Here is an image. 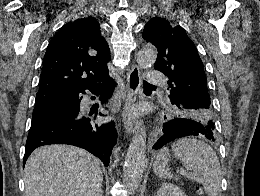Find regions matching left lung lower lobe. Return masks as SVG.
Wrapping results in <instances>:
<instances>
[{
  "instance_id": "obj_1",
  "label": "left lung lower lobe",
  "mask_w": 260,
  "mask_h": 196,
  "mask_svg": "<svg viewBox=\"0 0 260 196\" xmlns=\"http://www.w3.org/2000/svg\"><path fill=\"white\" fill-rule=\"evenodd\" d=\"M214 131V123L204 125L195 120L176 118L164 124L163 135L153 146V149H160L162 146L169 143L170 141L190 135H204V137L208 140L215 141Z\"/></svg>"
}]
</instances>
